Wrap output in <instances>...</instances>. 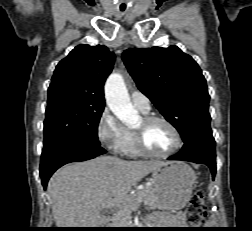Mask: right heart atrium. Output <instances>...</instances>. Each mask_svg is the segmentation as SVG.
<instances>
[{"instance_id":"1","label":"right heart atrium","mask_w":252,"mask_h":231,"mask_svg":"<svg viewBox=\"0 0 252 231\" xmlns=\"http://www.w3.org/2000/svg\"><path fill=\"white\" fill-rule=\"evenodd\" d=\"M96 131L98 139L102 144L116 152L121 150L126 137V129L108 107L102 110L97 122Z\"/></svg>"}]
</instances>
